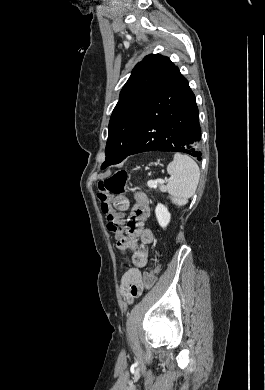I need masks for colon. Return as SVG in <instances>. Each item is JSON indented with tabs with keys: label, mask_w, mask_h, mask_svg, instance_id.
Listing matches in <instances>:
<instances>
[{
	"label": "colon",
	"mask_w": 265,
	"mask_h": 390,
	"mask_svg": "<svg viewBox=\"0 0 265 390\" xmlns=\"http://www.w3.org/2000/svg\"><path fill=\"white\" fill-rule=\"evenodd\" d=\"M129 178L125 170H118L110 177L98 183L97 197L101 202V209L107 218V229L117 239L122 237L124 222L121 215L114 211L110 199L113 195H121L128 188ZM158 265L146 272L142 277V284L145 290L151 289L156 282Z\"/></svg>",
	"instance_id": "1"
}]
</instances>
